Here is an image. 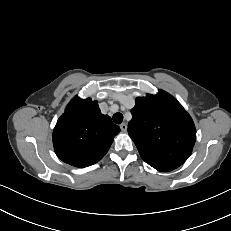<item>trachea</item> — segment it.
Instances as JSON below:
<instances>
[{
  "label": "trachea",
  "instance_id": "trachea-1",
  "mask_svg": "<svg viewBox=\"0 0 231 231\" xmlns=\"http://www.w3.org/2000/svg\"><path fill=\"white\" fill-rule=\"evenodd\" d=\"M113 121L116 123V124H121L122 121H123V115L121 113H115L112 117Z\"/></svg>",
  "mask_w": 231,
  "mask_h": 231
}]
</instances>
